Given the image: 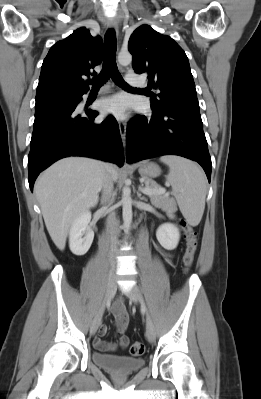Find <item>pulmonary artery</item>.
<instances>
[{
  "label": "pulmonary artery",
  "instance_id": "pulmonary-artery-1",
  "mask_svg": "<svg viewBox=\"0 0 261 399\" xmlns=\"http://www.w3.org/2000/svg\"><path fill=\"white\" fill-rule=\"evenodd\" d=\"M126 81H127V83L132 84V85H138V86L144 85V82L139 80L134 72L127 73ZM105 89H106L105 87H102L100 89V91H104Z\"/></svg>",
  "mask_w": 261,
  "mask_h": 399
}]
</instances>
